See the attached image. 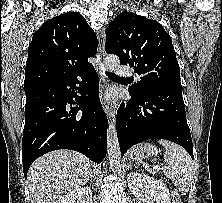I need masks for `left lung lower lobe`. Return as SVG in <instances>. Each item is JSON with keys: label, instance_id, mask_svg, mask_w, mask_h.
Segmentation results:
<instances>
[{"label": "left lung lower lobe", "instance_id": "0a47b994", "mask_svg": "<svg viewBox=\"0 0 222 203\" xmlns=\"http://www.w3.org/2000/svg\"><path fill=\"white\" fill-rule=\"evenodd\" d=\"M129 93L131 102L126 108L122 103L116 117L121 155L137 143L159 138L181 145L194 158L182 88L159 85L140 95Z\"/></svg>", "mask_w": 222, "mask_h": 203}]
</instances>
